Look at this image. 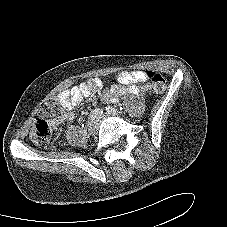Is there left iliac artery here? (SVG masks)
Listing matches in <instances>:
<instances>
[{"mask_svg": "<svg viewBox=\"0 0 227 227\" xmlns=\"http://www.w3.org/2000/svg\"><path fill=\"white\" fill-rule=\"evenodd\" d=\"M122 109V108H121ZM106 112L108 113V114H118V111L115 109V108H113V107H111V106H108V107H106Z\"/></svg>", "mask_w": 227, "mask_h": 227, "instance_id": "44dca946", "label": "left iliac artery"}]
</instances>
